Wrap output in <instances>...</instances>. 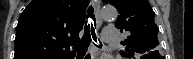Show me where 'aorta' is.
I'll list each match as a JSON object with an SVG mask.
<instances>
[{
  "label": "aorta",
  "mask_w": 193,
  "mask_h": 59,
  "mask_svg": "<svg viewBox=\"0 0 193 59\" xmlns=\"http://www.w3.org/2000/svg\"><path fill=\"white\" fill-rule=\"evenodd\" d=\"M117 16L118 12L113 6H105L101 9V17L104 20H114Z\"/></svg>",
  "instance_id": "aorta-1"
}]
</instances>
